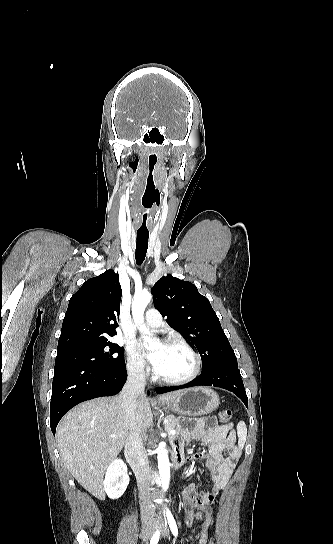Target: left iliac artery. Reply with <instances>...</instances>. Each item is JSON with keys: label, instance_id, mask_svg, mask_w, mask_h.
I'll use <instances>...</instances> for the list:
<instances>
[{"label": "left iliac artery", "instance_id": "44dca946", "mask_svg": "<svg viewBox=\"0 0 333 544\" xmlns=\"http://www.w3.org/2000/svg\"><path fill=\"white\" fill-rule=\"evenodd\" d=\"M167 519L169 523V527L171 529L172 534L177 537L178 536V528L175 522V519L170 511L167 512Z\"/></svg>", "mask_w": 333, "mask_h": 544}]
</instances>
